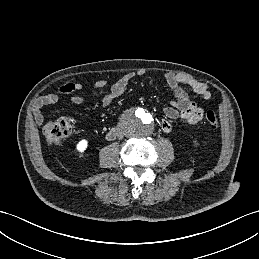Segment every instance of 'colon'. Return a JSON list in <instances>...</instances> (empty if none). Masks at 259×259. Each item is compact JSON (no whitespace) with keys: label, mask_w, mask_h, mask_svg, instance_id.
I'll return each instance as SVG.
<instances>
[{"label":"colon","mask_w":259,"mask_h":259,"mask_svg":"<svg viewBox=\"0 0 259 259\" xmlns=\"http://www.w3.org/2000/svg\"><path fill=\"white\" fill-rule=\"evenodd\" d=\"M205 121L211 127L218 125V119L213 111L205 114ZM74 122L71 118L61 117L49 120L43 126V134L48 144L57 146L61 144L73 131Z\"/></svg>","instance_id":"5ec220e1"}]
</instances>
